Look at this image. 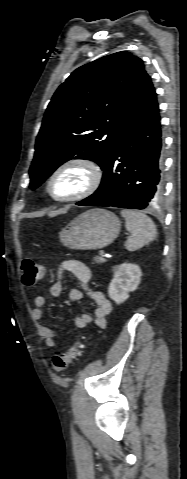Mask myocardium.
<instances>
[{"instance_id":"myocardium-1","label":"myocardium","mask_w":187,"mask_h":479,"mask_svg":"<svg viewBox=\"0 0 187 479\" xmlns=\"http://www.w3.org/2000/svg\"><path fill=\"white\" fill-rule=\"evenodd\" d=\"M80 168L86 174L84 185L72 195L67 197H58L52 192L54 181L64 172L70 169ZM103 172L100 165L91 158L76 156L62 162L50 174L46 181L45 190L50 199L59 203H70L85 199L97 191L102 183Z\"/></svg>"}]
</instances>
